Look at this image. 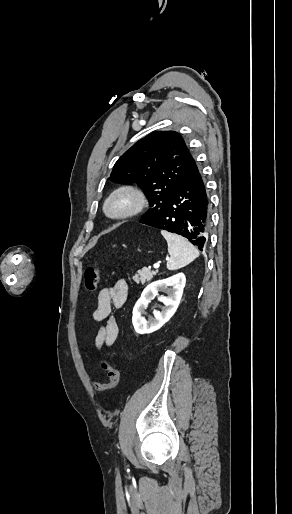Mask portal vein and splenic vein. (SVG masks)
<instances>
[{
    "label": "portal vein and splenic vein",
    "mask_w": 292,
    "mask_h": 514,
    "mask_svg": "<svg viewBox=\"0 0 292 514\" xmlns=\"http://www.w3.org/2000/svg\"><path fill=\"white\" fill-rule=\"evenodd\" d=\"M160 264H154V268H159Z\"/></svg>",
    "instance_id": "18ae733b"
}]
</instances>
